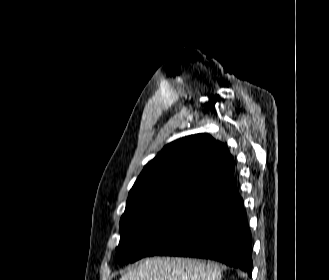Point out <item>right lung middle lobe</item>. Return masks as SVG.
Masks as SVG:
<instances>
[{"label":"right lung middle lobe","instance_id":"obj_1","mask_svg":"<svg viewBox=\"0 0 329 280\" xmlns=\"http://www.w3.org/2000/svg\"><path fill=\"white\" fill-rule=\"evenodd\" d=\"M205 199L178 195L155 199L137 208L128 206L120 220L121 238L116 260L120 264L149 256Z\"/></svg>","mask_w":329,"mask_h":280}]
</instances>
